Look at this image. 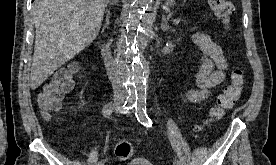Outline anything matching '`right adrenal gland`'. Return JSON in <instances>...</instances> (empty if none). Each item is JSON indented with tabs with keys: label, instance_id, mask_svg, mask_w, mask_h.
<instances>
[{
	"label": "right adrenal gland",
	"instance_id": "obj_1",
	"mask_svg": "<svg viewBox=\"0 0 276 165\" xmlns=\"http://www.w3.org/2000/svg\"><path fill=\"white\" fill-rule=\"evenodd\" d=\"M110 12L108 11L107 12V15H106V21H105V24H104V26H103V28H102V31H104L107 27H108V25L110 24Z\"/></svg>",
	"mask_w": 276,
	"mask_h": 165
}]
</instances>
